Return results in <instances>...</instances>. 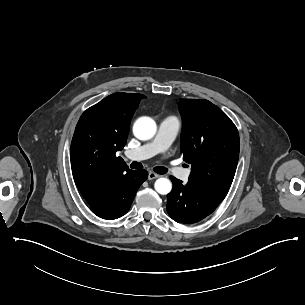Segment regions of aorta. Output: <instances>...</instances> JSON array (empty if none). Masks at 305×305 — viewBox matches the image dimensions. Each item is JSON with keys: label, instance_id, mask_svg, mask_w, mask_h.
Listing matches in <instances>:
<instances>
[{"label": "aorta", "instance_id": "762f6f07", "mask_svg": "<svg viewBox=\"0 0 305 305\" xmlns=\"http://www.w3.org/2000/svg\"><path fill=\"white\" fill-rule=\"evenodd\" d=\"M157 130L156 123L149 117L139 118L133 126V133L139 140L151 139ZM155 190L161 195H167L172 190V183L167 178H159L154 184Z\"/></svg>", "mask_w": 305, "mask_h": 305}]
</instances>
